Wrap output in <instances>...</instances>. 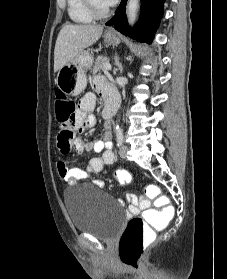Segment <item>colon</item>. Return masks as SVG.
<instances>
[{"label":"colon","instance_id":"colon-1","mask_svg":"<svg viewBox=\"0 0 227 279\" xmlns=\"http://www.w3.org/2000/svg\"><path fill=\"white\" fill-rule=\"evenodd\" d=\"M75 102L67 95H60L56 101L55 115L63 131L72 135L76 129ZM115 180L123 185L132 181V174L127 170H118L114 173ZM149 197L157 207L145 210L142 215L132 218L123 233L119 255L121 260L130 266H136L143 252V242L151 238L154 231L160 229L166 220H172L174 212L166 204L168 197L161 192L159 187L146 183Z\"/></svg>","mask_w":227,"mask_h":279}]
</instances>
